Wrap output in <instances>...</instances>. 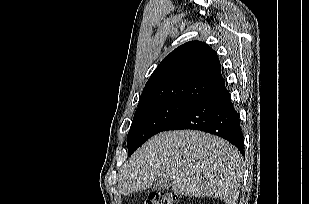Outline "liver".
Here are the masks:
<instances>
[{
  "label": "liver",
  "instance_id": "6515ba94",
  "mask_svg": "<svg viewBox=\"0 0 309 204\" xmlns=\"http://www.w3.org/2000/svg\"><path fill=\"white\" fill-rule=\"evenodd\" d=\"M243 173L240 152L224 139L195 130L169 131L155 135L131 156L118 187L129 195L165 176L178 194L235 204Z\"/></svg>",
  "mask_w": 309,
  "mask_h": 204
}]
</instances>
